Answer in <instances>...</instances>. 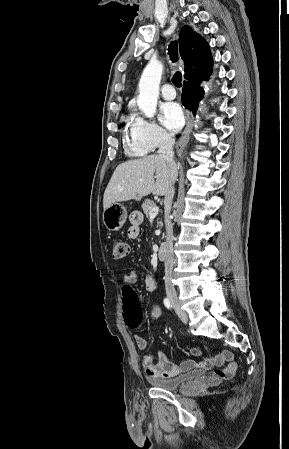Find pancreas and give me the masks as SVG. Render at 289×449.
I'll use <instances>...</instances> for the list:
<instances>
[{"label":"pancreas","instance_id":"obj_1","mask_svg":"<svg viewBox=\"0 0 289 449\" xmlns=\"http://www.w3.org/2000/svg\"><path fill=\"white\" fill-rule=\"evenodd\" d=\"M143 212L148 215L149 211L155 207V203L153 202V200L150 199H146L144 200V202L141 205ZM163 223L161 221L158 222V226L162 227Z\"/></svg>","mask_w":289,"mask_h":449}]
</instances>
